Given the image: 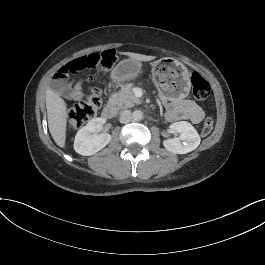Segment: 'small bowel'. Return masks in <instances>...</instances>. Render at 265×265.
Masks as SVG:
<instances>
[{
    "mask_svg": "<svg viewBox=\"0 0 265 265\" xmlns=\"http://www.w3.org/2000/svg\"><path fill=\"white\" fill-rule=\"evenodd\" d=\"M64 95L70 100L83 98V80L77 81L73 86L64 89ZM205 116L203 109L190 99H178L167 106V117L171 121L190 120L193 123H200Z\"/></svg>",
    "mask_w": 265,
    "mask_h": 265,
    "instance_id": "small-bowel-1",
    "label": "small bowel"
}]
</instances>
